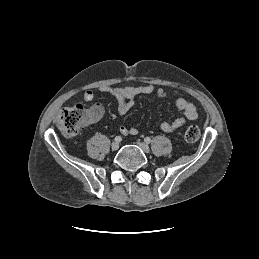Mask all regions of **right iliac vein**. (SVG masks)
<instances>
[{"mask_svg":"<svg viewBox=\"0 0 259 259\" xmlns=\"http://www.w3.org/2000/svg\"><path fill=\"white\" fill-rule=\"evenodd\" d=\"M111 148H112V150H114V151H116V150H118V148H119V143L118 142H113L112 144H111Z\"/></svg>","mask_w":259,"mask_h":259,"instance_id":"1","label":"right iliac vein"}]
</instances>
